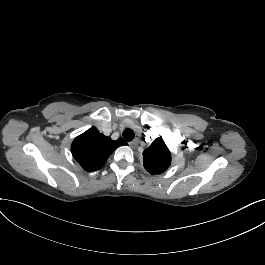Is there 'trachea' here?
Segmentation results:
<instances>
[{
	"label": "trachea",
	"mask_w": 265,
	"mask_h": 265,
	"mask_svg": "<svg viewBox=\"0 0 265 265\" xmlns=\"http://www.w3.org/2000/svg\"><path fill=\"white\" fill-rule=\"evenodd\" d=\"M122 135L126 141H131L135 137V134H134L133 130H131V129L124 130Z\"/></svg>",
	"instance_id": "obj_1"
}]
</instances>
